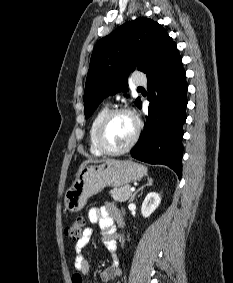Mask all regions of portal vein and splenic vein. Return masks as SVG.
Instances as JSON below:
<instances>
[{"label":"portal vein and splenic vein","instance_id":"1","mask_svg":"<svg viewBox=\"0 0 233 283\" xmlns=\"http://www.w3.org/2000/svg\"><path fill=\"white\" fill-rule=\"evenodd\" d=\"M130 191H131V192H134V191H135V188H134V187L130 188Z\"/></svg>","mask_w":233,"mask_h":283}]
</instances>
